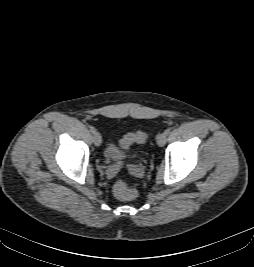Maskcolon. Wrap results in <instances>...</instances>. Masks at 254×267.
Instances as JSON below:
<instances>
[{"instance_id": "obj_1", "label": "colon", "mask_w": 254, "mask_h": 267, "mask_svg": "<svg viewBox=\"0 0 254 267\" xmlns=\"http://www.w3.org/2000/svg\"><path fill=\"white\" fill-rule=\"evenodd\" d=\"M147 134L143 131H137L125 135L121 140V147L126 150L130 148L134 143H142L146 140ZM115 196L121 200H132L136 198L137 192L135 189L129 186L124 180H119L113 187Z\"/></svg>"}]
</instances>
